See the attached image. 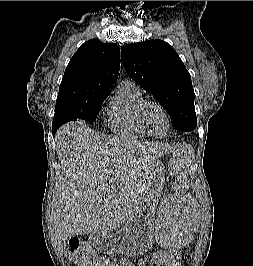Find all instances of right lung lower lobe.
Returning a JSON list of instances; mask_svg holds the SVG:
<instances>
[{
  "mask_svg": "<svg viewBox=\"0 0 253 266\" xmlns=\"http://www.w3.org/2000/svg\"><path fill=\"white\" fill-rule=\"evenodd\" d=\"M60 126L58 125H52V132H53V135H55L57 129L59 128Z\"/></svg>",
  "mask_w": 253,
  "mask_h": 266,
  "instance_id": "obj_1",
  "label": "right lung lower lobe"
}]
</instances>
